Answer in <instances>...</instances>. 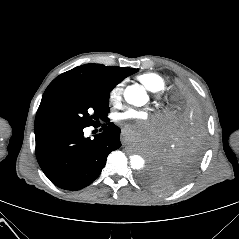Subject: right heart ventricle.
Listing matches in <instances>:
<instances>
[{"instance_id":"right-heart-ventricle-1","label":"right heart ventricle","mask_w":239,"mask_h":239,"mask_svg":"<svg viewBox=\"0 0 239 239\" xmlns=\"http://www.w3.org/2000/svg\"><path fill=\"white\" fill-rule=\"evenodd\" d=\"M137 80L140 81L149 91L161 92L165 88V81L157 73L147 72L137 76Z\"/></svg>"}]
</instances>
